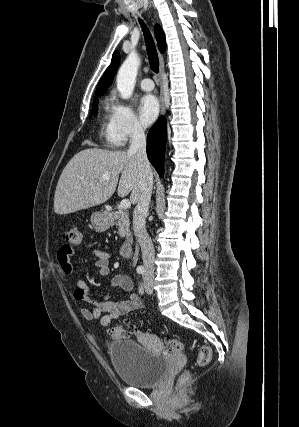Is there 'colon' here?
<instances>
[{
  "mask_svg": "<svg viewBox=\"0 0 299 427\" xmlns=\"http://www.w3.org/2000/svg\"><path fill=\"white\" fill-rule=\"evenodd\" d=\"M64 241L71 245V246H78L81 244L82 241V229L80 226H74L69 229H67L63 234ZM109 333L112 337L115 338H123L126 336H129L131 334L136 333L135 328L128 322L117 325L112 327L109 330ZM166 349L170 352H182L184 349V342L176 340V339H169L166 341ZM212 357V351L209 346L203 345L200 347L198 357H197V364L199 366H205L207 365ZM189 380V374L184 373L180 379H179V385L183 386L186 384V382Z\"/></svg>",
  "mask_w": 299,
  "mask_h": 427,
  "instance_id": "1",
  "label": "colon"
}]
</instances>
